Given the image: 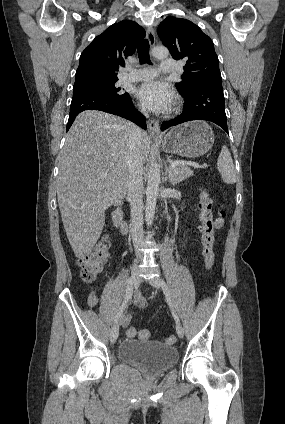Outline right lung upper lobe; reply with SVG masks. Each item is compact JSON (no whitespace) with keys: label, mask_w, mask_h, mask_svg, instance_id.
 Instances as JSON below:
<instances>
[{"label":"right lung upper lobe","mask_w":285,"mask_h":424,"mask_svg":"<svg viewBox=\"0 0 285 424\" xmlns=\"http://www.w3.org/2000/svg\"><path fill=\"white\" fill-rule=\"evenodd\" d=\"M145 31L136 22L124 20L108 27L82 52L75 84L118 80L119 67L132 55Z\"/></svg>","instance_id":"obj_1"}]
</instances>
